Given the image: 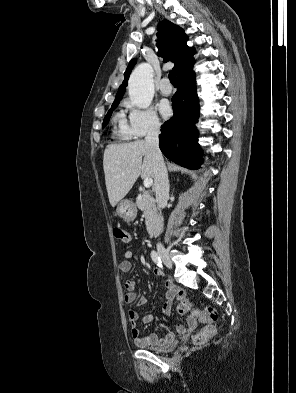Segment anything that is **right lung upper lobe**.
<instances>
[{"label":"right lung upper lobe","instance_id":"right-lung-upper-lobe-1","mask_svg":"<svg viewBox=\"0 0 296 393\" xmlns=\"http://www.w3.org/2000/svg\"><path fill=\"white\" fill-rule=\"evenodd\" d=\"M158 40L156 46L159 49V56L163 57L165 61H173L175 63L174 69L177 75L194 59L195 51L187 46L188 37L184 30L179 26L173 24L168 20H163L158 25ZM136 63V59L130 61L126 72L124 73V81L120 85L115 101L121 100L127 86V81L132 68Z\"/></svg>","mask_w":296,"mask_h":393}]
</instances>
